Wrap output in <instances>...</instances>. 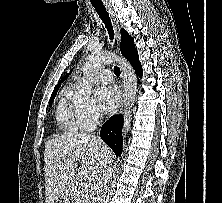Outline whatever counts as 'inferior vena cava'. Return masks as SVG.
<instances>
[{"instance_id":"obj_1","label":"inferior vena cava","mask_w":222,"mask_h":203,"mask_svg":"<svg viewBox=\"0 0 222 203\" xmlns=\"http://www.w3.org/2000/svg\"><path fill=\"white\" fill-rule=\"evenodd\" d=\"M99 118L100 115L96 114L95 116V122L97 124H99ZM92 138H97L98 140H100L99 137H96L95 135H89ZM112 174V169L111 166L108 165L106 166L105 170L103 171V173L98 177L97 180V185H96V194H95V198H94V203H106L105 202V197H106V190H107V183L111 177Z\"/></svg>"}]
</instances>
